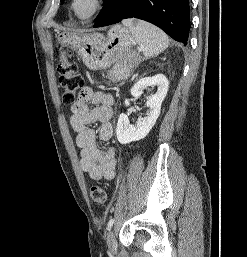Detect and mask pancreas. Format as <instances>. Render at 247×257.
<instances>
[{"instance_id":"1","label":"pancreas","mask_w":247,"mask_h":257,"mask_svg":"<svg viewBox=\"0 0 247 257\" xmlns=\"http://www.w3.org/2000/svg\"><path fill=\"white\" fill-rule=\"evenodd\" d=\"M126 71H127V68L126 67H122L120 65H115L113 67V69H112V72L114 74H124V73H126Z\"/></svg>"}]
</instances>
